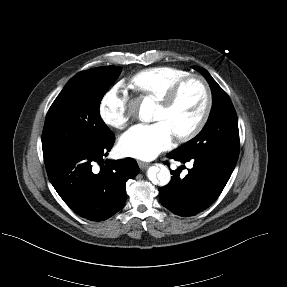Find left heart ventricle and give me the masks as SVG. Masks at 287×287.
Instances as JSON below:
<instances>
[{
	"mask_svg": "<svg viewBox=\"0 0 287 287\" xmlns=\"http://www.w3.org/2000/svg\"><path fill=\"white\" fill-rule=\"evenodd\" d=\"M204 107L205 92L198 81H191L170 110L157 106L153 120L164 122L175 136L191 129L201 117Z\"/></svg>",
	"mask_w": 287,
	"mask_h": 287,
	"instance_id": "b2bd125f",
	"label": "left heart ventricle"
}]
</instances>
